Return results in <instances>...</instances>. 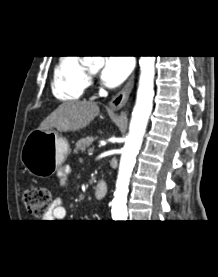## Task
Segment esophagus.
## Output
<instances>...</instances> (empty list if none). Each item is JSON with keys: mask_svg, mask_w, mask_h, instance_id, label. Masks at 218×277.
<instances>
[{"mask_svg": "<svg viewBox=\"0 0 218 277\" xmlns=\"http://www.w3.org/2000/svg\"><path fill=\"white\" fill-rule=\"evenodd\" d=\"M134 78L133 74L125 86L110 100L109 107L112 110H119L127 103L134 86Z\"/></svg>", "mask_w": 218, "mask_h": 277, "instance_id": "obj_1", "label": "esophagus"}]
</instances>
